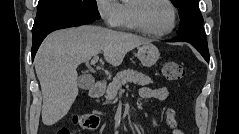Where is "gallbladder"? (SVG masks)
Wrapping results in <instances>:
<instances>
[{
  "label": "gallbladder",
  "instance_id": "1",
  "mask_svg": "<svg viewBox=\"0 0 239 134\" xmlns=\"http://www.w3.org/2000/svg\"><path fill=\"white\" fill-rule=\"evenodd\" d=\"M94 84V79L90 76L82 75L78 80V85L82 89H89Z\"/></svg>",
  "mask_w": 239,
  "mask_h": 134
}]
</instances>
